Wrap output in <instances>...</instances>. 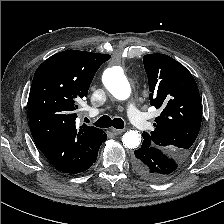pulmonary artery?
<instances>
[{"mask_svg": "<svg viewBox=\"0 0 224 224\" xmlns=\"http://www.w3.org/2000/svg\"><path fill=\"white\" fill-rule=\"evenodd\" d=\"M128 116L132 123L139 129V130H146L149 128V123L146 121L143 114L136 108L134 103L128 104ZM93 114H97L98 110H92Z\"/></svg>", "mask_w": 224, "mask_h": 224, "instance_id": "pulmonary-artery-1", "label": "pulmonary artery"}]
</instances>
